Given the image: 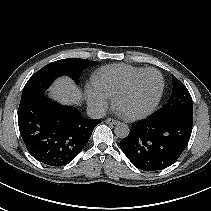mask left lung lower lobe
Masks as SVG:
<instances>
[{
  "label": "left lung lower lobe",
  "mask_w": 211,
  "mask_h": 211,
  "mask_svg": "<svg viewBox=\"0 0 211 211\" xmlns=\"http://www.w3.org/2000/svg\"><path fill=\"white\" fill-rule=\"evenodd\" d=\"M193 120L183 116H151L134 123L120 148L130 162L144 171L169 167L186 148Z\"/></svg>",
  "instance_id": "left-lung-lower-lobe-1"
}]
</instances>
